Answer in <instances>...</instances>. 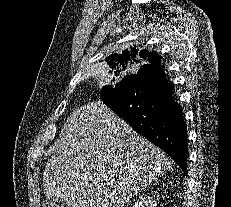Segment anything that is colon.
I'll list each match as a JSON object with an SVG mask.
<instances>
[{
    "mask_svg": "<svg viewBox=\"0 0 231 207\" xmlns=\"http://www.w3.org/2000/svg\"><path fill=\"white\" fill-rule=\"evenodd\" d=\"M45 207H59L57 204L54 203H48L45 205Z\"/></svg>",
    "mask_w": 231,
    "mask_h": 207,
    "instance_id": "5ec220e1",
    "label": "colon"
}]
</instances>
